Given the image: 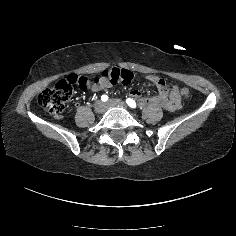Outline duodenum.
I'll return each mask as SVG.
<instances>
[{"label":"duodenum","instance_id":"410a0bca","mask_svg":"<svg viewBox=\"0 0 236 236\" xmlns=\"http://www.w3.org/2000/svg\"><path fill=\"white\" fill-rule=\"evenodd\" d=\"M141 106H146L151 103H158L168 110H174L178 108V102L174 95H167L164 90L154 97L142 98L139 101Z\"/></svg>","mask_w":236,"mask_h":236}]
</instances>
